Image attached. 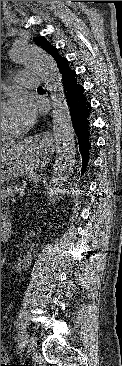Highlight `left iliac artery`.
Here are the masks:
<instances>
[{
	"mask_svg": "<svg viewBox=\"0 0 122 366\" xmlns=\"http://www.w3.org/2000/svg\"><path fill=\"white\" fill-rule=\"evenodd\" d=\"M22 333V332H21ZM22 338H21V340H22V345H21V347H24L25 346V344L27 343V335H23V333H22Z\"/></svg>",
	"mask_w": 122,
	"mask_h": 366,
	"instance_id": "obj_1",
	"label": "left iliac artery"
}]
</instances>
